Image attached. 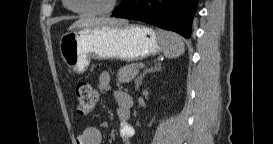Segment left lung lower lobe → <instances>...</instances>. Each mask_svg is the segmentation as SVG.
<instances>
[{"label":"left lung lower lobe","instance_id":"left-lung-lower-lobe-1","mask_svg":"<svg viewBox=\"0 0 273 144\" xmlns=\"http://www.w3.org/2000/svg\"><path fill=\"white\" fill-rule=\"evenodd\" d=\"M197 4L198 0H122L113 16L140 20L190 38Z\"/></svg>","mask_w":273,"mask_h":144}]
</instances>
